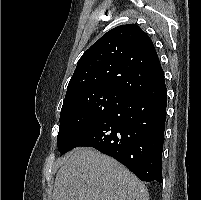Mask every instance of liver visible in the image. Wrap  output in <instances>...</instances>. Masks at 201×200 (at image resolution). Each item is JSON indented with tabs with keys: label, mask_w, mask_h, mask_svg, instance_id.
Here are the masks:
<instances>
[{
	"label": "liver",
	"mask_w": 201,
	"mask_h": 200,
	"mask_svg": "<svg viewBox=\"0 0 201 200\" xmlns=\"http://www.w3.org/2000/svg\"><path fill=\"white\" fill-rule=\"evenodd\" d=\"M53 200H148L147 188L126 167L91 147L66 156Z\"/></svg>",
	"instance_id": "6515ba94"
}]
</instances>
